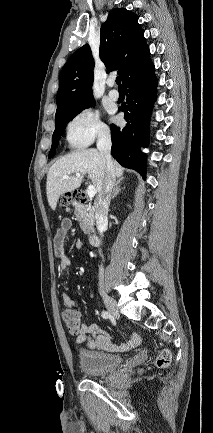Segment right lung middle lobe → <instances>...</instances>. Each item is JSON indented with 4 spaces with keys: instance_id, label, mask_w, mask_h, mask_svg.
<instances>
[{
    "instance_id": "right-lung-middle-lobe-1",
    "label": "right lung middle lobe",
    "mask_w": 213,
    "mask_h": 433,
    "mask_svg": "<svg viewBox=\"0 0 213 433\" xmlns=\"http://www.w3.org/2000/svg\"><path fill=\"white\" fill-rule=\"evenodd\" d=\"M95 105L94 99H91L83 104H80L74 108L68 109L65 112H63L58 118L55 119V131L53 133V141L52 146L49 152L48 158H52L54 156L55 148L58 145V142L56 139H60L66 124L74 118L77 114H79L82 110L92 107Z\"/></svg>"
}]
</instances>
